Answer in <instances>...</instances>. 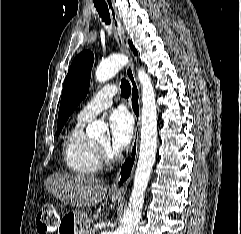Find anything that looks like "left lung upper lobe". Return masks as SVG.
<instances>
[{
    "instance_id": "obj_1",
    "label": "left lung upper lobe",
    "mask_w": 241,
    "mask_h": 234,
    "mask_svg": "<svg viewBox=\"0 0 241 234\" xmlns=\"http://www.w3.org/2000/svg\"><path fill=\"white\" fill-rule=\"evenodd\" d=\"M129 45L133 53L137 55L132 42L129 41ZM93 62V53L84 51L75 57L68 70L58 113L57 135L60 134L62 127L74 109L87 95Z\"/></svg>"
}]
</instances>
